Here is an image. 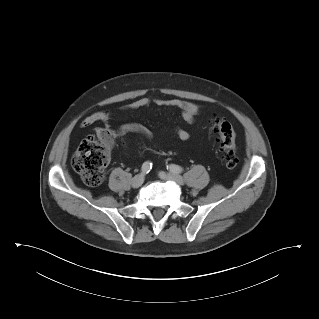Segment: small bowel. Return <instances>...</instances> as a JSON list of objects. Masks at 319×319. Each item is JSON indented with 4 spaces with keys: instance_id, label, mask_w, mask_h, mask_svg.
<instances>
[{
    "instance_id": "1",
    "label": "small bowel",
    "mask_w": 319,
    "mask_h": 319,
    "mask_svg": "<svg viewBox=\"0 0 319 319\" xmlns=\"http://www.w3.org/2000/svg\"><path fill=\"white\" fill-rule=\"evenodd\" d=\"M152 105L160 106V107H168L174 108L181 112L184 120L189 123L193 124L198 116L201 107L190 101H184L179 99H169V98H148V97H141L133 102L129 103L128 105L124 106V110L132 111V110H139L148 108ZM111 118V112L108 110H102L95 113H92L86 116L83 121V126H90L97 122H102L105 124L104 127H96L94 129L95 134L98 137H116L120 134L119 130L112 128L109 125V121ZM129 130L141 134L145 137L148 141H153L155 138L154 132L147 126L142 124H134L129 127ZM175 133L177 137L182 141H188L191 138L190 132L184 127H176Z\"/></svg>"
}]
</instances>
